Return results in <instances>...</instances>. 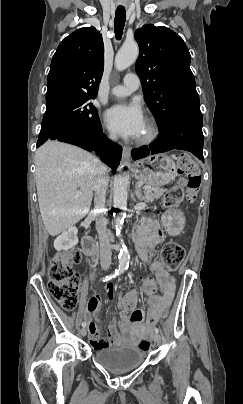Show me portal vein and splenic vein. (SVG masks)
Here are the masks:
<instances>
[{
    "instance_id": "1",
    "label": "portal vein and splenic vein",
    "mask_w": 243,
    "mask_h": 404,
    "mask_svg": "<svg viewBox=\"0 0 243 404\" xmlns=\"http://www.w3.org/2000/svg\"><path fill=\"white\" fill-rule=\"evenodd\" d=\"M144 190H151V186H144ZM77 194H81V192H77Z\"/></svg>"
}]
</instances>
